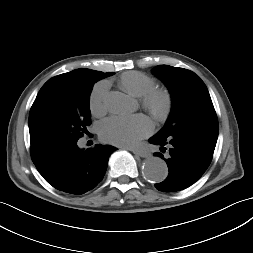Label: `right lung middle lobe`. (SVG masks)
I'll return each instance as SVG.
<instances>
[{"instance_id": "obj_1", "label": "right lung middle lobe", "mask_w": 253, "mask_h": 253, "mask_svg": "<svg viewBox=\"0 0 253 253\" xmlns=\"http://www.w3.org/2000/svg\"><path fill=\"white\" fill-rule=\"evenodd\" d=\"M104 76H56L40 89L29 114L31 157L42 162L76 143L91 124L89 97Z\"/></svg>"}]
</instances>
